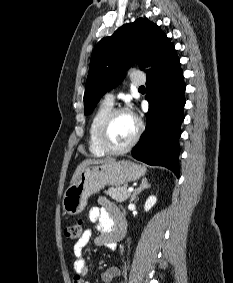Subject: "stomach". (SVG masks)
<instances>
[{
  "mask_svg": "<svg viewBox=\"0 0 233 283\" xmlns=\"http://www.w3.org/2000/svg\"><path fill=\"white\" fill-rule=\"evenodd\" d=\"M146 173V168L128 160L112 161L85 167L77 180L64 193L63 211L68 215L81 213L90 196L105 186H121L136 181Z\"/></svg>",
  "mask_w": 233,
  "mask_h": 283,
  "instance_id": "0dacf381",
  "label": "stomach"
}]
</instances>
